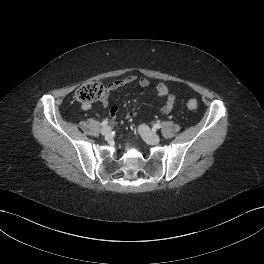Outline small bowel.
<instances>
[{
  "mask_svg": "<svg viewBox=\"0 0 264 264\" xmlns=\"http://www.w3.org/2000/svg\"><path fill=\"white\" fill-rule=\"evenodd\" d=\"M131 83H136L140 88H146L149 85V81L145 78H139L137 76H126L121 79L114 80L107 85L108 92L115 91ZM157 95L163 100V106L161 111L165 114L170 113L176 106V98L170 93L168 87L164 84H158L156 87ZM102 105L108 107L110 105L109 96L106 95L102 100ZM84 110H90L91 104H83ZM120 113L118 106H113L110 109V115L116 117Z\"/></svg>",
  "mask_w": 264,
  "mask_h": 264,
  "instance_id": "obj_1",
  "label": "small bowel"
}]
</instances>
